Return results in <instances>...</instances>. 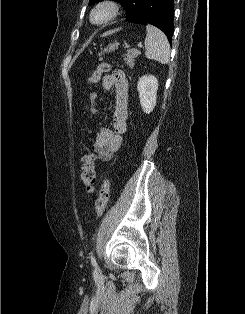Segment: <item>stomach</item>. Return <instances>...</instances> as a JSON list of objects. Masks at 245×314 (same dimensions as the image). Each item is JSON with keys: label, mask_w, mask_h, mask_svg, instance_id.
Here are the masks:
<instances>
[{"label": "stomach", "mask_w": 245, "mask_h": 314, "mask_svg": "<svg viewBox=\"0 0 245 314\" xmlns=\"http://www.w3.org/2000/svg\"><path fill=\"white\" fill-rule=\"evenodd\" d=\"M117 48H118V43L109 44L106 48H104V50L99 55H101L102 53H109L111 51H114Z\"/></svg>", "instance_id": "stomach-1"}]
</instances>
